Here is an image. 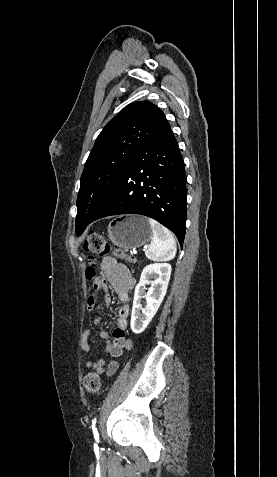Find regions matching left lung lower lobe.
Returning <instances> with one entry per match:
<instances>
[{"instance_id": "obj_1", "label": "left lung lower lobe", "mask_w": 277, "mask_h": 477, "mask_svg": "<svg viewBox=\"0 0 277 477\" xmlns=\"http://www.w3.org/2000/svg\"><path fill=\"white\" fill-rule=\"evenodd\" d=\"M120 214L151 217L170 229L183 245L186 175L184 161L169 124L124 167L108 198L90 223ZM85 228L77 235H81Z\"/></svg>"}]
</instances>
